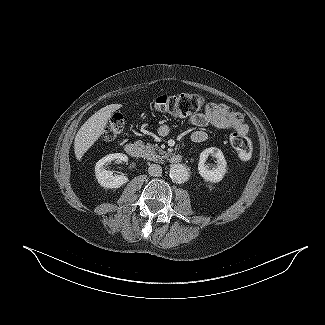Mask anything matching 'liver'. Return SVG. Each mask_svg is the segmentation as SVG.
Listing matches in <instances>:
<instances>
[{
    "label": "liver",
    "mask_w": 325,
    "mask_h": 325,
    "mask_svg": "<svg viewBox=\"0 0 325 325\" xmlns=\"http://www.w3.org/2000/svg\"><path fill=\"white\" fill-rule=\"evenodd\" d=\"M122 107L121 104H110L93 114L79 129L75 136L74 152L77 160H81L88 149L105 132V127L113 113Z\"/></svg>",
    "instance_id": "liver-1"
}]
</instances>
